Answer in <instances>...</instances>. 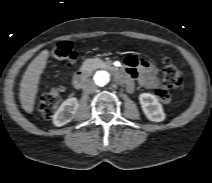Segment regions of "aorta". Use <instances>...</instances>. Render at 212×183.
Here are the masks:
<instances>
[{"label":"aorta","instance_id":"aorta-1","mask_svg":"<svg viewBox=\"0 0 212 183\" xmlns=\"http://www.w3.org/2000/svg\"><path fill=\"white\" fill-rule=\"evenodd\" d=\"M111 80L109 72L101 70L92 74L90 81L94 82L96 86L105 87Z\"/></svg>","mask_w":212,"mask_h":183}]
</instances>
